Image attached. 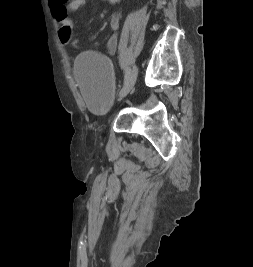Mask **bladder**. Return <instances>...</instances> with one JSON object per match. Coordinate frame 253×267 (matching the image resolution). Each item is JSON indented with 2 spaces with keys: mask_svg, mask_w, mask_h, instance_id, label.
<instances>
[{
  "mask_svg": "<svg viewBox=\"0 0 253 267\" xmlns=\"http://www.w3.org/2000/svg\"><path fill=\"white\" fill-rule=\"evenodd\" d=\"M73 73L89 111L97 117L107 116L115 92L110 60L99 52H82L74 62Z\"/></svg>",
  "mask_w": 253,
  "mask_h": 267,
  "instance_id": "1",
  "label": "bladder"
}]
</instances>
